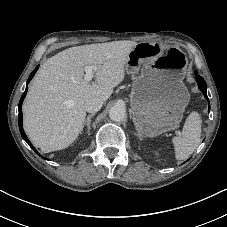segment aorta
<instances>
[{
	"label": "aorta",
	"mask_w": 227,
	"mask_h": 227,
	"mask_svg": "<svg viewBox=\"0 0 227 227\" xmlns=\"http://www.w3.org/2000/svg\"><path fill=\"white\" fill-rule=\"evenodd\" d=\"M109 117L116 122L122 121L126 117V110L122 106L114 105L109 110Z\"/></svg>",
	"instance_id": "1"
}]
</instances>
